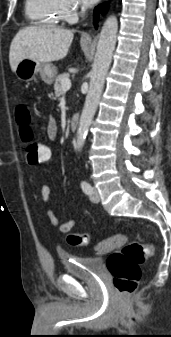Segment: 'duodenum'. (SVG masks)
Instances as JSON below:
<instances>
[{
	"mask_svg": "<svg viewBox=\"0 0 171 337\" xmlns=\"http://www.w3.org/2000/svg\"><path fill=\"white\" fill-rule=\"evenodd\" d=\"M79 125V116L77 114H74L70 119V129L75 131L78 128Z\"/></svg>",
	"mask_w": 171,
	"mask_h": 337,
	"instance_id": "obj_1",
	"label": "duodenum"
}]
</instances>
